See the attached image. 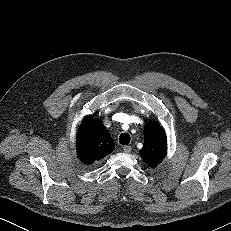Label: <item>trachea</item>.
<instances>
[{"mask_svg": "<svg viewBox=\"0 0 231 231\" xmlns=\"http://www.w3.org/2000/svg\"><path fill=\"white\" fill-rule=\"evenodd\" d=\"M130 135L128 133H122L119 136V143L122 145H128L130 143Z\"/></svg>", "mask_w": 231, "mask_h": 231, "instance_id": "1", "label": "trachea"}]
</instances>
